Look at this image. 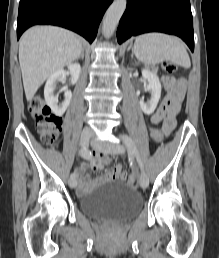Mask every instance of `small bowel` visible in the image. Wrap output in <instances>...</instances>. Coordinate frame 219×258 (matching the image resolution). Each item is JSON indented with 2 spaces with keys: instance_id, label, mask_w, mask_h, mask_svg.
I'll return each mask as SVG.
<instances>
[{
  "instance_id": "small-bowel-1",
  "label": "small bowel",
  "mask_w": 219,
  "mask_h": 258,
  "mask_svg": "<svg viewBox=\"0 0 219 258\" xmlns=\"http://www.w3.org/2000/svg\"><path fill=\"white\" fill-rule=\"evenodd\" d=\"M163 83L167 89L163 90L166 96H163V100H160V104H156L154 117H166V118H149V123H159L160 127H163L165 134H170L176 125V117L179 112L181 101L183 100L185 91V80L183 78H176L172 76L163 77ZM155 125V124H154ZM89 166L93 171H98L102 168L105 162L111 160L110 156L104 152H93L90 155ZM86 164L81 165L76 174L79 177V190L80 194H84L89 190L90 179L84 176ZM129 172L125 171L124 167H114L113 171H109L104 175L105 179H128Z\"/></svg>"
}]
</instances>
